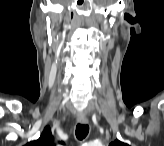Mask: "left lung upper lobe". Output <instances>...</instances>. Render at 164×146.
Masks as SVG:
<instances>
[{"label":"left lung upper lobe","instance_id":"obj_1","mask_svg":"<svg viewBox=\"0 0 164 146\" xmlns=\"http://www.w3.org/2000/svg\"><path fill=\"white\" fill-rule=\"evenodd\" d=\"M110 146H128V145L116 139L114 142L110 144Z\"/></svg>","mask_w":164,"mask_h":146}]
</instances>
